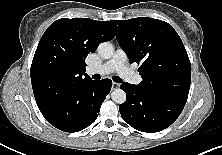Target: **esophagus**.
<instances>
[{
  "mask_svg": "<svg viewBox=\"0 0 222 155\" xmlns=\"http://www.w3.org/2000/svg\"><path fill=\"white\" fill-rule=\"evenodd\" d=\"M117 88H119V84L116 83V82H113L112 83V89H117Z\"/></svg>",
  "mask_w": 222,
  "mask_h": 155,
  "instance_id": "1",
  "label": "esophagus"
}]
</instances>
